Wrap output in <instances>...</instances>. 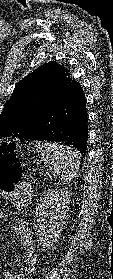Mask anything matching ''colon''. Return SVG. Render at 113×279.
Instances as JSON below:
<instances>
[{
    "instance_id": "colon-1",
    "label": "colon",
    "mask_w": 113,
    "mask_h": 279,
    "mask_svg": "<svg viewBox=\"0 0 113 279\" xmlns=\"http://www.w3.org/2000/svg\"><path fill=\"white\" fill-rule=\"evenodd\" d=\"M23 188L17 147L14 144H5L0 149V191L6 194H16Z\"/></svg>"
}]
</instances>
